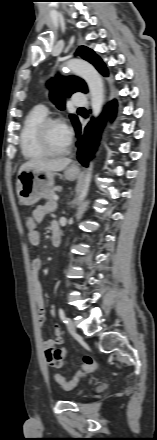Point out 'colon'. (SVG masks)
Listing matches in <instances>:
<instances>
[{
  "label": "colon",
  "mask_w": 157,
  "mask_h": 440,
  "mask_svg": "<svg viewBox=\"0 0 157 440\" xmlns=\"http://www.w3.org/2000/svg\"><path fill=\"white\" fill-rule=\"evenodd\" d=\"M25 226H26V228L28 229L29 232L36 231V229H37V221L35 220L33 215L32 216H27L25 218ZM51 353L55 357L59 358V357L62 356L63 350H62L61 347H56V348H53L51 350ZM83 362H84V364H83L82 370L79 371L73 377L72 380L66 381L65 378L62 375L56 374L54 376V379H55L56 383L59 386H61L63 389H65V390H71L74 387H76L78 382H79V380H80V378L83 377L85 374L93 371L97 367V365H98L96 360L92 356H90V355H85L83 357Z\"/></svg>",
  "instance_id": "1"
}]
</instances>
